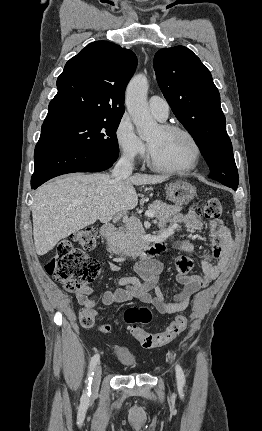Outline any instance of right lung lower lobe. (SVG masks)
<instances>
[{"label": "right lung lower lobe", "mask_w": 262, "mask_h": 431, "mask_svg": "<svg viewBox=\"0 0 262 431\" xmlns=\"http://www.w3.org/2000/svg\"><path fill=\"white\" fill-rule=\"evenodd\" d=\"M116 160L80 146L39 140L34 152L31 187L36 189L49 179L66 173L104 171Z\"/></svg>", "instance_id": "right-lung-lower-lobe-1"}]
</instances>
